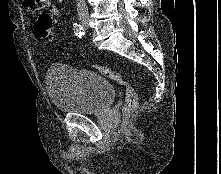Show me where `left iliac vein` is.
I'll return each instance as SVG.
<instances>
[{
  "instance_id": "left-iliac-vein-1",
  "label": "left iliac vein",
  "mask_w": 221,
  "mask_h": 174,
  "mask_svg": "<svg viewBox=\"0 0 221 174\" xmlns=\"http://www.w3.org/2000/svg\"><path fill=\"white\" fill-rule=\"evenodd\" d=\"M84 28H85V29L88 28V22L84 24Z\"/></svg>"
}]
</instances>
